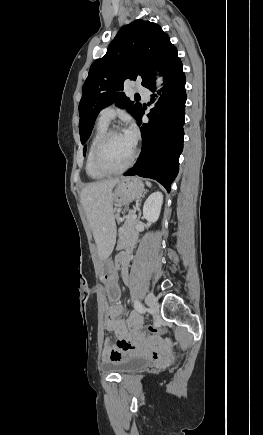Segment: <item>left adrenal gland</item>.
<instances>
[{
    "label": "left adrenal gland",
    "mask_w": 263,
    "mask_h": 435,
    "mask_svg": "<svg viewBox=\"0 0 263 435\" xmlns=\"http://www.w3.org/2000/svg\"><path fill=\"white\" fill-rule=\"evenodd\" d=\"M144 195H145V193H144ZM144 195H142L141 198H139L137 200V203H136V210L138 211V220L141 217L140 202H141L142 198H144Z\"/></svg>",
    "instance_id": "obj_1"
}]
</instances>
